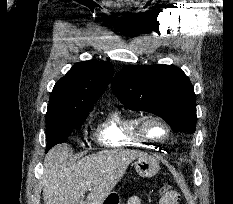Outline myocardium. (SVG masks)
Returning <instances> with one entry per match:
<instances>
[{"label": "myocardium", "mask_w": 233, "mask_h": 204, "mask_svg": "<svg viewBox=\"0 0 233 204\" xmlns=\"http://www.w3.org/2000/svg\"><path fill=\"white\" fill-rule=\"evenodd\" d=\"M151 122L158 123L163 127L164 134L161 137H156L149 133L147 125ZM136 130L141 137L153 142H163L167 140L171 134V128L168 122L163 117L153 113H147L138 117Z\"/></svg>", "instance_id": "f54148a6"}]
</instances>
